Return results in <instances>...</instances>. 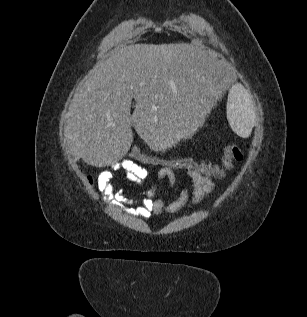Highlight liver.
<instances>
[{
  "label": "liver",
  "mask_w": 307,
  "mask_h": 317,
  "mask_svg": "<svg viewBox=\"0 0 307 317\" xmlns=\"http://www.w3.org/2000/svg\"><path fill=\"white\" fill-rule=\"evenodd\" d=\"M229 71L221 55L186 43L116 51L89 72L69 106L65 136L72 156L96 167L117 162L132 144L131 126L154 149L188 136L202 125L204 108L215 112L211 104L226 99Z\"/></svg>",
  "instance_id": "obj_1"
}]
</instances>
